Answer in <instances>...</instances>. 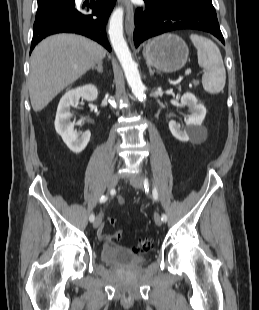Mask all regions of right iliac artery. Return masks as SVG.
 <instances>
[{"instance_id": "1", "label": "right iliac artery", "mask_w": 259, "mask_h": 310, "mask_svg": "<svg viewBox=\"0 0 259 310\" xmlns=\"http://www.w3.org/2000/svg\"><path fill=\"white\" fill-rule=\"evenodd\" d=\"M107 196H102L101 198H100V203H103V202H105L106 200H107ZM94 219H95V216H94V214H91L90 215V217H89V220L91 221V222H93L94 221Z\"/></svg>"}]
</instances>
